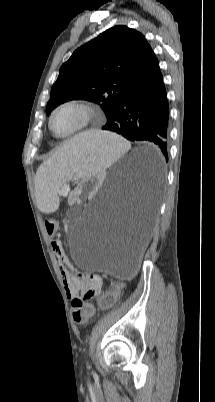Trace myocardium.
<instances>
[{
	"mask_svg": "<svg viewBox=\"0 0 215 402\" xmlns=\"http://www.w3.org/2000/svg\"><path fill=\"white\" fill-rule=\"evenodd\" d=\"M68 108L77 110L81 114V121L79 125L70 132H67L65 134H58L53 127L54 117L61 110ZM95 115L96 110L91 104L80 100H67L65 102L60 103L52 110L49 116L48 126L50 131L55 137L60 139H68L82 133L87 128H89V126L92 124L94 120Z\"/></svg>",
	"mask_w": 215,
	"mask_h": 402,
	"instance_id": "1",
	"label": "myocardium"
}]
</instances>
